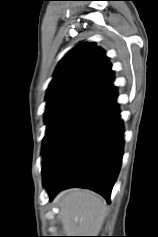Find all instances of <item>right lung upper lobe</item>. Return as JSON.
I'll list each match as a JSON object with an SVG mask.
<instances>
[{
	"label": "right lung upper lobe",
	"instance_id": "obj_1",
	"mask_svg": "<svg viewBox=\"0 0 158 237\" xmlns=\"http://www.w3.org/2000/svg\"><path fill=\"white\" fill-rule=\"evenodd\" d=\"M113 85V71L103 50L93 42L74 47L60 61L46 100L87 103Z\"/></svg>",
	"mask_w": 158,
	"mask_h": 237
}]
</instances>
